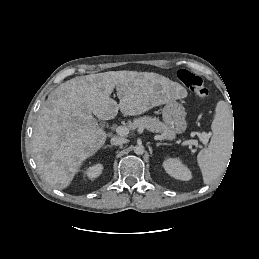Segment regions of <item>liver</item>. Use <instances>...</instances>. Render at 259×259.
<instances>
[{"mask_svg": "<svg viewBox=\"0 0 259 259\" xmlns=\"http://www.w3.org/2000/svg\"><path fill=\"white\" fill-rule=\"evenodd\" d=\"M114 88L120 99H112ZM183 87L153 72L109 71L78 76L59 85L40 109L33 131L35 162L43 179L67 188L82 163L107 139L100 120L135 116L183 98ZM94 115V116H93Z\"/></svg>", "mask_w": 259, "mask_h": 259, "instance_id": "6515ba94", "label": "liver"}]
</instances>
